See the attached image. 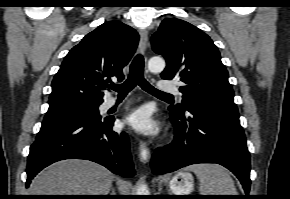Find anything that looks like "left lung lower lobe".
<instances>
[{"instance_id": "obj_1", "label": "left lung lower lobe", "mask_w": 290, "mask_h": 199, "mask_svg": "<svg viewBox=\"0 0 290 199\" xmlns=\"http://www.w3.org/2000/svg\"><path fill=\"white\" fill-rule=\"evenodd\" d=\"M170 116L176 134L170 145L153 154V173L164 174L197 163H217L237 176L248 198L250 155L239 114L191 103L183 111L170 109Z\"/></svg>"}]
</instances>
